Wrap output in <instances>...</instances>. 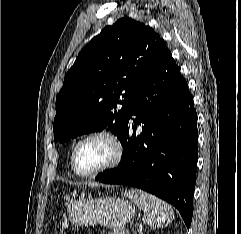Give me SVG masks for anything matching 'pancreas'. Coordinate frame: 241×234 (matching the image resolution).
I'll return each mask as SVG.
<instances>
[{
    "instance_id": "obj_1",
    "label": "pancreas",
    "mask_w": 241,
    "mask_h": 234,
    "mask_svg": "<svg viewBox=\"0 0 241 234\" xmlns=\"http://www.w3.org/2000/svg\"><path fill=\"white\" fill-rule=\"evenodd\" d=\"M108 234H126L123 228L121 229H113V231L109 232Z\"/></svg>"
}]
</instances>
